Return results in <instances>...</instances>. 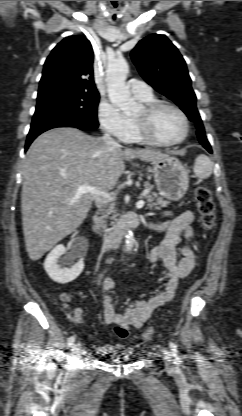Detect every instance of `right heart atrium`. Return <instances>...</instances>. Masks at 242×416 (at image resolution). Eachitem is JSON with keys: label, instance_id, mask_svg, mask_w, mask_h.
<instances>
[{"label": "right heart atrium", "instance_id": "right-heart-atrium-1", "mask_svg": "<svg viewBox=\"0 0 242 416\" xmlns=\"http://www.w3.org/2000/svg\"><path fill=\"white\" fill-rule=\"evenodd\" d=\"M97 117L102 130L120 141H125L131 132V121L114 104L101 100Z\"/></svg>", "mask_w": 242, "mask_h": 416}]
</instances>
